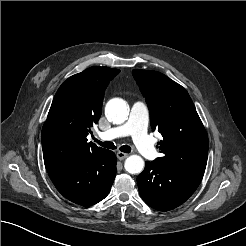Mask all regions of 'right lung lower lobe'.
Masks as SVG:
<instances>
[{
    "instance_id": "1",
    "label": "right lung lower lobe",
    "mask_w": 246,
    "mask_h": 246,
    "mask_svg": "<svg viewBox=\"0 0 246 246\" xmlns=\"http://www.w3.org/2000/svg\"><path fill=\"white\" fill-rule=\"evenodd\" d=\"M116 156L112 151L79 158L51 168L48 174L57 190L68 200L90 206L104 199L116 175Z\"/></svg>"
}]
</instances>
